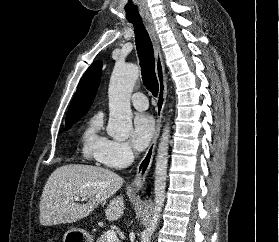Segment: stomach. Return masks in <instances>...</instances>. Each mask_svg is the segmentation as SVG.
<instances>
[{
    "label": "stomach",
    "instance_id": "0dacf381",
    "mask_svg": "<svg viewBox=\"0 0 279 242\" xmlns=\"http://www.w3.org/2000/svg\"><path fill=\"white\" fill-rule=\"evenodd\" d=\"M64 242H90V235L82 229H70L68 230L64 237Z\"/></svg>",
    "mask_w": 279,
    "mask_h": 242
}]
</instances>
